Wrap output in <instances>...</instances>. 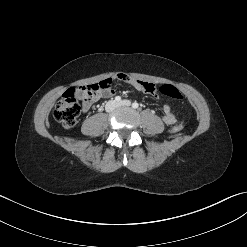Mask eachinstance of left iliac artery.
Returning <instances> with one entry per match:
<instances>
[{
    "label": "left iliac artery",
    "instance_id": "44dca946",
    "mask_svg": "<svg viewBox=\"0 0 247 247\" xmlns=\"http://www.w3.org/2000/svg\"><path fill=\"white\" fill-rule=\"evenodd\" d=\"M132 107L136 109V108L139 107V104H138L137 102H134V103L132 104Z\"/></svg>",
    "mask_w": 247,
    "mask_h": 247
}]
</instances>
